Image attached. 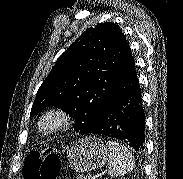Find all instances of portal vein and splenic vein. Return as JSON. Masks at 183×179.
<instances>
[{
  "instance_id": "obj_1",
  "label": "portal vein and splenic vein",
  "mask_w": 183,
  "mask_h": 179,
  "mask_svg": "<svg viewBox=\"0 0 183 179\" xmlns=\"http://www.w3.org/2000/svg\"><path fill=\"white\" fill-rule=\"evenodd\" d=\"M97 176L90 177V179H96Z\"/></svg>"
}]
</instances>
